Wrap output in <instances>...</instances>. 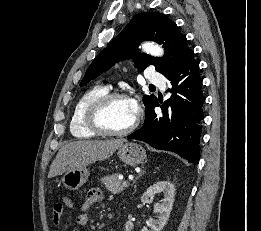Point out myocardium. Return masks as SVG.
I'll use <instances>...</instances> for the list:
<instances>
[{"label":"myocardium","mask_w":261,"mask_h":231,"mask_svg":"<svg viewBox=\"0 0 261 231\" xmlns=\"http://www.w3.org/2000/svg\"><path fill=\"white\" fill-rule=\"evenodd\" d=\"M116 99L131 100L126 93L115 91L108 92L89 106L86 113V124L91 131L99 135L125 136L133 132L138 127L140 122V113L138 111L136 112L132 124L124 130H112L104 125L102 121V114L108 105Z\"/></svg>","instance_id":"myocardium-1"}]
</instances>
